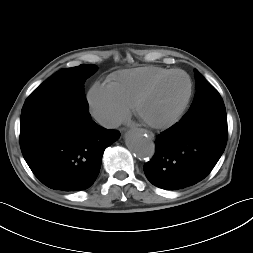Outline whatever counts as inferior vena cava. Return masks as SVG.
I'll return each instance as SVG.
<instances>
[{"mask_svg":"<svg viewBox=\"0 0 253 253\" xmlns=\"http://www.w3.org/2000/svg\"><path fill=\"white\" fill-rule=\"evenodd\" d=\"M95 119L105 128H115L120 125V122L115 117L107 114H98Z\"/></svg>","mask_w":253,"mask_h":253,"instance_id":"inferior-vena-cava-1","label":"inferior vena cava"}]
</instances>
